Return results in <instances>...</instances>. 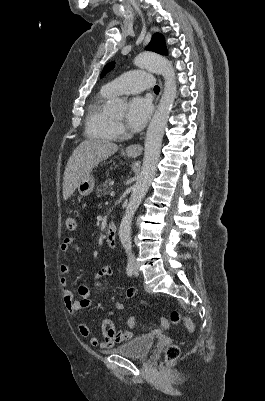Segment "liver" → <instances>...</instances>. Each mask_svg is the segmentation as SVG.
Masks as SVG:
<instances>
[{"label":"liver","mask_w":265,"mask_h":401,"mask_svg":"<svg viewBox=\"0 0 265 401\" xmlns=\"http://www.w3.org/2000/svg\"><path fill=\"white\" fill-rule=\"evenodd\" d=\"M119 146L109 140H82L73 150L64 170L63 176V198H67L75 192L79 182L91 172L92 168L98 166L99 162L106 160L108 156L117 152Z\"/></svg>","instance_id":"liver-1"}]
</instances>
